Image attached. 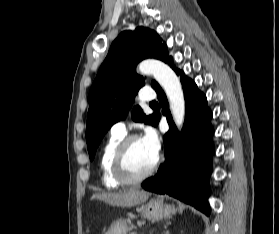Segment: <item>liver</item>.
Returning a JSON list of instances; mask_svg holds the SVG:
<instances>
[{"label": "liver", "instance_id": "obj_1", "mask_svg": "<svg viewBox=\"0 0 279 234\" xmlns=\"http://www.w3.org/2000/svg\"><path fill=\"white\" fill-rule=\"evenodd\" d=\"M150 193L131 189L119 193H98L91 197V200L98 199L109 205L118 207H132L146 201Z\"/></svg>", "mask_w": 279, "mask_h": 234}]
</instances>
